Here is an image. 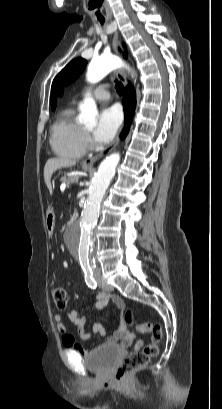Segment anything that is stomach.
Masks as SVG:
<instances>
[{
	"label": "stomach",
	"instance_id": "0dacf381",
	"mask_svg": "<svg viewBox=\"0 0 222 409\" xmlns=\"http://www.w3.org/2000/svg\"><path fill=\"white\" fill-rule=\"evenodd\" d=\"M83 170L88 171V167H83ZM55 227V215L52 209H48L46 214V229L48 233H53Z\"/></svg>",
	"mask_w": 222,
	"mask_h": 409
}]
</instances>
